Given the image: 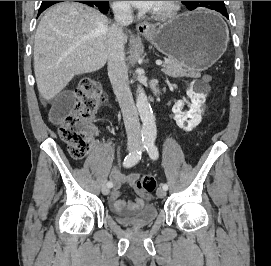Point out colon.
Instances as JSON below:
<instances>
[{
  "label": "colon",
  "mask_w": 271,
  "mask_h": 266,
  "mask_svg": "<svg viewBox=\"0 0 271 266\" xmlns=\"http://www.w3.org/2000/svg\"><path fill=\"white\" fill-rule=\"evenodd\" d=\"M104 103L101 84L91 77L80 81L76 90V102L72 111L60 122L61 138L68 144L72 157L83 158L93 146L91 124L97 111ZM156 181L150 174L142 176L136 182V188L145 194H151Z\"/></svg>",
  "instance_id": "1"
}]
</instances>
